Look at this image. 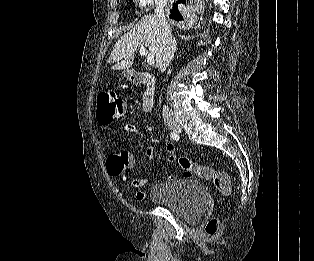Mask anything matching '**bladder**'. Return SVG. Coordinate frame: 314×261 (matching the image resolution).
Segmentation results:
<instances>
[{"instance_id":"1","label":"bladder","mask_w":314,"mask_h":261,"mask_svg":"<svg viewBox=\"0 0 314 261\" xmlns=\"http://www.w3.org/2000/svg\"><path fill=\"white\" fill-rule=\"evenodd\" d=\"M149 199L187 219H195L208 207L206 186L195 180H178L155 184Z\"/></svg>"}]
</instances>
